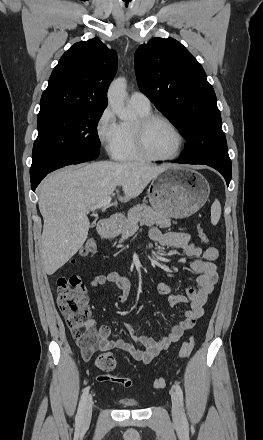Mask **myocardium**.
Segmentation results:
<instances>
[{
  "label": "myocardium",
  "instance_id": "obj_1",
  "mask_svg": "<svg viewBox=\"0 0 263 440\" xmlns=\"http://www.w3.org/2000/svg\"><path fill=\"white\" fill-rule=\"evenodd\" d=\"M157 121H162L168 124L177 136L178 146L175 153H173L172 155L156 156L150 153V151L147 148L146 140H145L146 130L149 126H151L153 123ZM131 132H132L135 151L145 160L158 161V162L172 161L178 158L183 151L185 140L181 130L170 118L164 115L149 114L146 116L139 117L138 120L135 122V124L131 127Z\"/></svg>",
  "mask_w": 263,
  "mask_h": 440
}]
</instances>
